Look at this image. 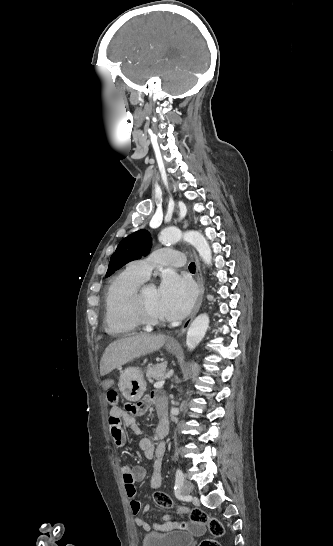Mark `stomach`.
<instances>
[{"label":"stomach","mask_w":333,"mask_h":546,"mask_svg":"<svg viewBox=\"0 0 333 546\" xmlns=\"http://www.w3.org/2000/svg\"><path fill=\"white\" fill-rule=\"evenodd\" d=\"M166 349L174 354L178 351V346L167 343ZM118 386L127 400L132 402L139 401L146 390V383L143 379L142 371L136 367L126 368L121 372Z\"/></svg>","instance_id":"stomach-1"}]
</instances>
